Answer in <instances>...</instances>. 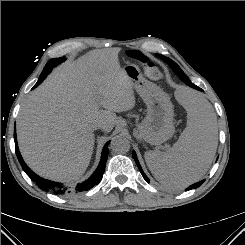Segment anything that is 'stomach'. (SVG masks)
I'll return each instance as SVG.
<instances>
[{
	"instance_id": "stomach-1",
	"label": "stomach",
	"mask_w": 245,
	"mask_h": 245,
	"mask_svg": "<svg viewBox=\"0 0 245 245\" xmlns=\"http://www.w3.org/2000/svg\"><path fill=\"white\" fill-rule=\"evenodd\" d=\"M122 69L147 106L146 117L137 125L142 139L152 145L167 141L175 132L174 106L168 94L146 80L138 66L127 64Z\"/></svg>"
}]
</instances>
